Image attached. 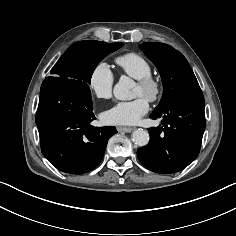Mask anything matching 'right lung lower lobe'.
I'll return each instance as SVG.
<instances>
[{"instance_id": "1", "label": "right lung lower lobe", "mask_w": 236, "mask_h": 236, "mask_svg": "<svg viewBox=\"0 0 236 236\" xmlns=\"http://www.w3.org/2000/svg\"><path fill=\"white\" fill-rule=\"evenodd\" d=\"M91 95L67 79L44 80L36 113L41 151L58 170L83 174L102 160L113 126L94 127Z\"/></svg>"}]
</instances>
